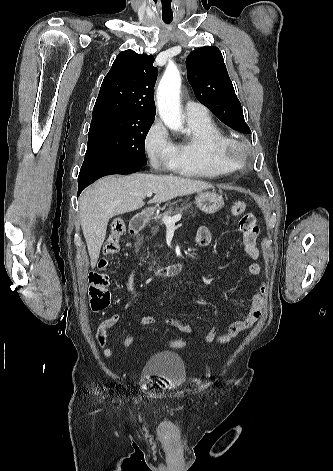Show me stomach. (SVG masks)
<instances>
[{"label": "stomach", "mask_w": 333, "mask_h": 471, "mask_svg": "<svg viewBox=\"0 0 333 471\" xmlns=\"http://www.w3.org/2000/svg\"><path fill=\"white\" fill-rule=\"evenodd\" d=\"M195 204L202 212L213 214L224 207L223 196L216 192H201L195 197Z\"/></svg>", "instance_id": "1"}]
</instances>
